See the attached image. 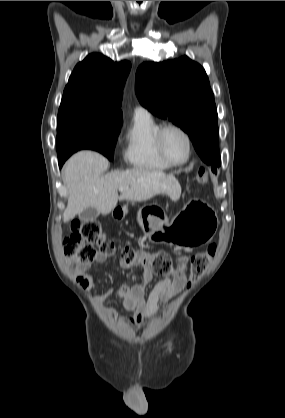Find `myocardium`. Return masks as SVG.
Returning <instances> with one entry per match:
<instances>
[{"label": "myocardium", "instance_id": "obj_1", "mask_svg": "<svg viewBox=\"0 0 285 418\" xmlns=\"http://www.w3.org/2000/svg\"><path fill=\"white\" fill-rule=\"evenodd\" d=\"M168 130H176L180 132L186 140L187 154H186L185 159L181 162H173L172 160H170V158L166 154V151L163 146V136ZM154 143H155V146L157 148L159 155L169 166H181V165L186 164L190 160L191 153H192V139L189 133L182 126L178 124L167 123V124L161 125L155 134Z\"/></svg>", "mask_w": 285, "mask_h": 418}]
</instances>
